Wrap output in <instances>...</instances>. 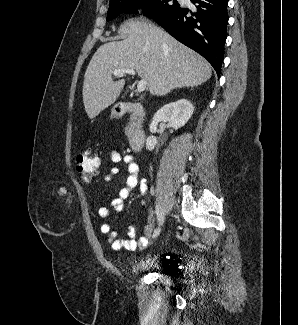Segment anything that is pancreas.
<instances>
[{
  "label": "pancreas",
  "instance_id": "obj_1",
  "mask_svg": "<svg viewBox=\"0 0 298 325\" xmlns=\"http://www.w3.org/2000/svg\"><path fill=\"white\" fill-rule=\"evenodd\" d=\"M130 124H128V126H125V130H126V134H130Z\"/></svg>",
  "mask_w": 298,
  "mask_h": 325
}]
</instances>
